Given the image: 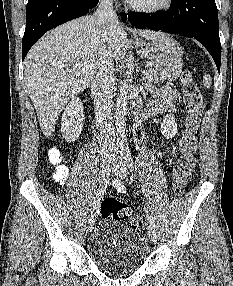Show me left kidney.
Returning <instances> with one entry per match:
<instances>
[{
	"label": "left kidney",
	"mask_w": 233,
	"mask_h": 286,
	"mask_svg": "<svg viewBox=\"0 0 233 286\" xmlns=\"http://www.w3.org/2000/svg\"><path fill=\"white\" fill-rule=\"evenodd\" d=\"M160 129H161L162 135L165 138H167V139L173 138L178 131L177 130V123L175 121L174 116L167 114L162 120Z\"/></svg>",
	"instance_id": "obj_1"
}]
</instances>
